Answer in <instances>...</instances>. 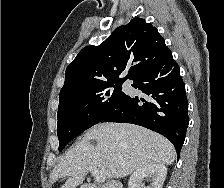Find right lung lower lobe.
I'll return each mask as SVG.
<instances>
[{
	"label": "right lung lower lobe",
	"mask_w": 224,
	"mask_h": 188,
	"mask_svg": "<svg viewBox=\"0 0 224 188\" xmlns=\"http://www.w3.org/2000/svg\"><path fill=\"white\" fill-rule=\"evenodd\" d=\"M132 80L145 98L127 95L100 122L132 123L153 130L172 142L179 158L189 124L188 100L172 53Z\"/></svg>",
	"instance_id": "obj_1"
}]
</instances>
